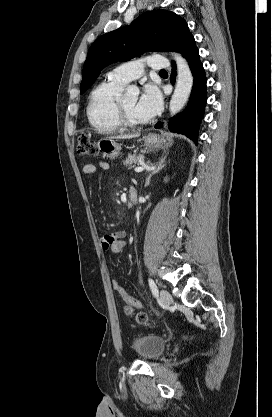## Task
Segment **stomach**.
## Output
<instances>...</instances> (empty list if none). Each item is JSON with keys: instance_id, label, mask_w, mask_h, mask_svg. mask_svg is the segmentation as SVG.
<instances>
[{"instance_id": "0dacf381", "label": "stomach", "mask_w": 272, "mask_h": 417, "mask_svg": "<svg viewBox=\"0 0 272 417\" xmlns=\"http://www.w3.org/2000/svg\"><path fill=\"white\" fill-rule=\"evenodd\" d=\"M171 143L172 141L170 138L157 134H149L144 137V144L150 150L168 147ZM97 147L103 152V155L109 159L118 157L121 150V146L114 139L110 138L100 139L97 143Z\"/></svg>"}]
</instances>
